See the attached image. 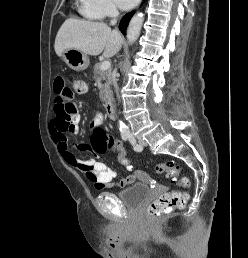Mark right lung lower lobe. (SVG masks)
Wrapping results in <instances>:
<instances>
[{
    "label": "right lung lower lobe",
    "instance_id": "98d812e1",
    "mask_svg": "<svg viewBox=\"0 0 248 258\" xmlns=\"http://www.w3.org/2000/svg\"><path fill=\"white\" fill-rule=\"evenodd\" d=\"M134 12L131 13H127L121 20L120 24H119V29L120 31L125 35L126 34V28L128 26V23L131 19V17L133 16Z\"/></svg>",
    "mask_w": 248,
    "mask_h": 258
}]
</instances>
